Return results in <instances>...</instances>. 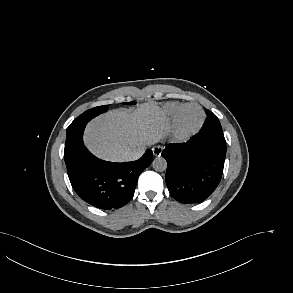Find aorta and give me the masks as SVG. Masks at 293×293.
Returning <instances> with one entry per match:
<instances>
[{
  "label": "aorta",
  "instance_id": "762f6f07",
  "mask_svg": "<svg viewBox=\"0 0 293 293\" xmlns=\"http://www.w3.org/2000/svg\"><path fill=\"white\" fill-rule=\"evenodd\" d=\"M153 168L158 172H163L167 168V162L163 157H157L153 160Z\"/></svg>",
  "mask_w": 293,
  "mask_h": 293
}]
</instances>
